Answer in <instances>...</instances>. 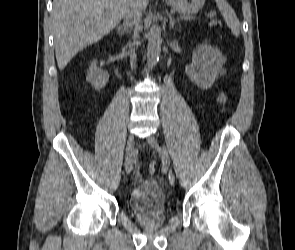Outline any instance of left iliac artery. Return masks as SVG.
<instances>
[{"instance_id":"left-iliac-artery-1","label":"left iliac artery","mask_w":295,"mask_h":250,"mask_svg":"<svg viewBox=\"0 0 295 250\" xmlns=\"http://www.w3.org/2000/svg\"><path fill=\"white\" fill-rule=\"evenodd\" d=\"M162 150H163V153H166L167 152L164 147L162 148ZM167 164H169V161L167 162Z\"/></svg>"}]
</instances>
